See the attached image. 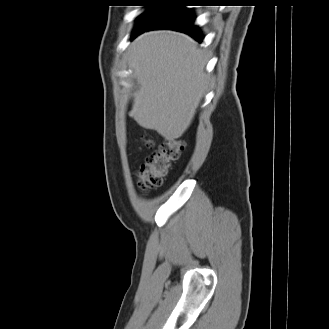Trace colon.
Wrapping results in <instances>:
<instances>
[{
  "instance_id": "colon-1",
  "label": "colon",
  "mask_w": 329,
  "mask_h": 329,
  "mask_svg": "<svg viewBox=\"0 0 329 329\" xmlns=\"http://www.w3.org/2000/svg\"><path fill=\"white\" fill-rule=\"evenodd\" d=\"M141 144L145 148H152L151 139L142 138ZM185 150L182 140L168 138L159 146L158 150L148 156L137 174V187L141 190L159 188L167 177L171 166L176 163Z\"/></svg>"
}]
</instances>
